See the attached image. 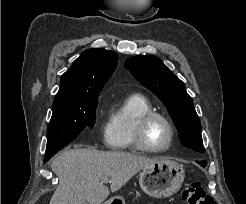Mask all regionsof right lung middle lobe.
Returning a JSON list of instances; mask_svg holds the SVG:
<instances>
[{
	"label": "right lung middle lobe",
	"instance_id": "dd1d6c3e",
	"mask_svg": "<svg viewBox=\"0 0 246 204\" xmlns=\"http://www.w3.org/2000/svg\"><path fill=\"white\" fill-rule=\"evenodd\" d=\"M97 97L98 94L53 103V115L48 125L45 158L50 159L57 151L74 140L85 127L94 126L98 105Z\"/></svg>",
	"mask_w": 246,
	"mask_h": 204
}]
</instances>
